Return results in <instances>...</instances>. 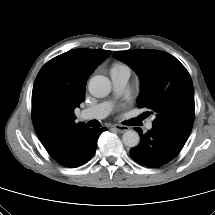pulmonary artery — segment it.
<instances>
[{"mask_svg": "<svg viewBox=\"0 0 215 215\" xmlns=\"http://www.w3.org/2000/svg\"><path fill=\"white\" fill-rule=\"evenodd\" d=\"M113 90L116 95H120L125 90L129 77L130 71L128 69L111 70L110 72ZM112 109V103L109 101L99 103L92 107L86 108L81 111L80 119H103L105 118ZM148 130L152 129V123L148 122L146 125Z\"/></svg>", "mask_w": 215, "mask_h": 215, "instance_id": "obj_1", "label": "pulmonary artery"}]
</instances>
